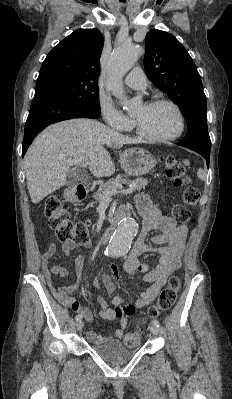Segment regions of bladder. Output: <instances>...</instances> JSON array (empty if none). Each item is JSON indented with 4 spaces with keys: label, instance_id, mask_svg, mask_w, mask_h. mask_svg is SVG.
<instances>
[{
    "label": "bladder",
    "instance_id": "31cf9c89",
    "mask_svg": "<svg viewBox=\"0 0 232 399\" xmlns=\"http://www.w3.org/2000/svg\"><path fill=\"white\" fill-rule=\"evenodd\" d=\"M93 351L107 362L118 364L131 359L135 353V349L126 347L119 340H110L98 345L92 346Z\"/></svg>",
    "mask_w": 232,
    "mask_h": 399
}]
</instances>
